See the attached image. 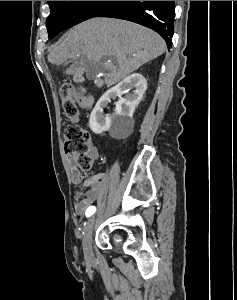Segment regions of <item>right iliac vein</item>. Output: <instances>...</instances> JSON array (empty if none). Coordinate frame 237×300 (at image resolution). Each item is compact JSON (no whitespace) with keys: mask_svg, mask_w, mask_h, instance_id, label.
<instances>
[{"mask_svg":"<svg viewBox=\"0 0 237 300\" xmlns=\"http://www.w3.org/2000/svg\"><path fill=\"white\" fill-rule=\"evenodd\" d=\"M95 219H96L95 216L90 217V219L87 222L84 236H83V249H84V253L87 256H90L92 254L91 238H92V233H93L94 226H95Z\"/></svg>","mask_w":237,"mask_h":300,"instance_id":"right-iliac-vein-1","label":"right iliac vein"}]
</instances>
